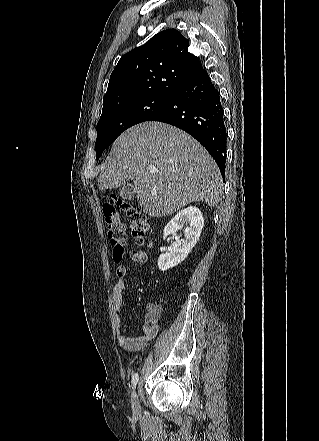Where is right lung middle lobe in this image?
Listing matches in <instances>:
<instances>
[{
  "label": "right lung middle lobe",
  "mask_w": 319,
  "mask_h": 441,
  "mask_svg": "<svg viewBox=\"0 0 319 441\" xmlns=\"http://www.w3.org/2000/svg\"><path fill=\"white\" fill-rule=\"evenodd\" d=\"M169 101L167 97L149 96L118 103L103 110L97 124L96 159L123 131L147 121Z\"/></svg>",
  "instance_id": "obj_1"
}]
</instances>
